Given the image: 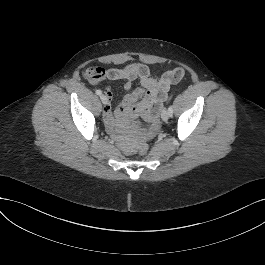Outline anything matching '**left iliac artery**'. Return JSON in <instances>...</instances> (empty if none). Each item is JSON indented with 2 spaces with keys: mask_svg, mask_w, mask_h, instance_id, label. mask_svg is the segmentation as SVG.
Masks as SVG:
<instances>
[{
  "mask_svg": "<svg viewBox=\"0 0 265 265\" xmlns=\"http://www.w3.org/2000/svg\"><path fill=\"white\" fill-rule=\"evenodd\" d=\"M168 113H169L170 116L173 115V107H172V105L169 106Z\"/></svg>",
  "mask_w": 265,
  "mask_h": 265,
  "instance_id": "1",
  "label": "left iliac artery"
}]
</instances>
